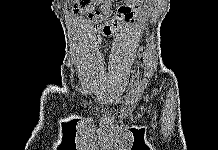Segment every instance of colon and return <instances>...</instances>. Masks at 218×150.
<instances>
[{"mask_svg": "<svg viewBox=\"0 0 218 150\" xmlns=\"http://www.w3.org/2000/svg\"><path fill=\"white\" fill-rule=\"evenodd\" d=\"M85 2H86V0H78L76 8L79 7L80 5H82Z\"/></svg>", "mask_w": 218, "mask_h": 150, "instance_id": "5ec220e1", "label": "colon"}]
</instances>
